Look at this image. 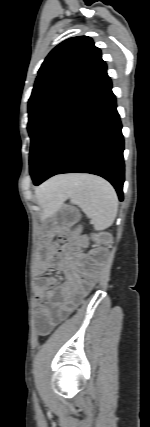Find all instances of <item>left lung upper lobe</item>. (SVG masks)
<instances>
[{
  "label": "left lung upper lobe",
  "instance_id": "left-lung-upper-lobe-1",
  "mask_svg": "<svg viewBox=\"0 0 150 427\" xmlns=\"http://www.w3.org/2000/svg\"><path fill=\"white\" fill-rule=\"evenodd\" d=\"M105 70L90 37L69 38L56 46L40 67L29 99L30 137Z\"/></svg>",
  "mask_w": 150,
  "mask_h": 427
}]
</instances>
